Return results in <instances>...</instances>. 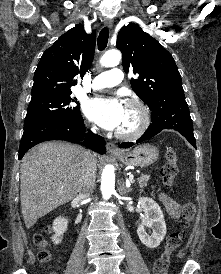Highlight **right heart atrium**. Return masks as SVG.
I'll list each match as a JSON object with an SVG mask.
<instances>
[{
    "label": "right heart atrium",
    "mask_w": 221,
    "mask_h": 274,
    "mask_svg": "<svg viewBox=\"0 0 221 274\" xmlns=\"http://www.w3.org/2000/svg\"><path fill=\"white\" fill-rule=\"evenodd\" d=\"M92 130H93V131H96V128H95L94 126H92Z\"/></svg>",
    "instance_id": "1"
}]
</instances>
